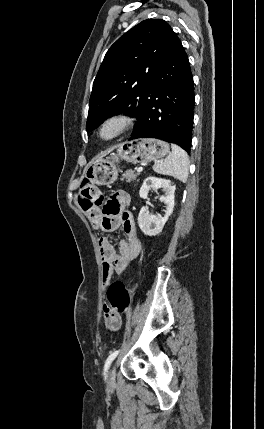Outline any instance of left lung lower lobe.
I'll use <instances>...</instances> for the list:
<instances>
[{"label":"left lung lower lobe","mask_w":264,"mask_h":429,"mask_svg":"<svg viewBox=\"0 0 264 429\" xmlns=\"http://www.w3.org/2000/svg\"><path fill=\"white\" fill-rule=\"evenodd\" d=\"M194 83L188 56L172 31L129 140L157 138L190 153Z\"/></svg>","instance_id":"0a47b994"}]
</instances>
